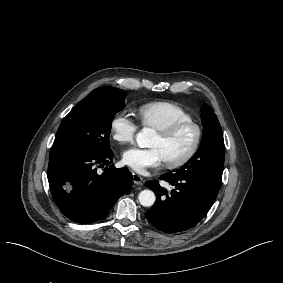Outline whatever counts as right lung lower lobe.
Listing matches in <instances>:
<instances>
[{
  "instance_id": "obj_1",
  "label": "right lung lower lobe",
  "mask_w": 283,
  "mask_h": 283,
  "mask_svg": "<svg viewBox=\"0 0 283 283\" xmlns=\"http://www.w3.org/2000/svg\"><path fill=\"white\" fill-rule=\"evenodd\" d=\"M113 152L70 150L50 153L48 181L60 211L72 221L87 224L104 218L132 185L127 168L113 165L99 175L98 167L112 163Z\"/></svg>"
}]
</instances>
